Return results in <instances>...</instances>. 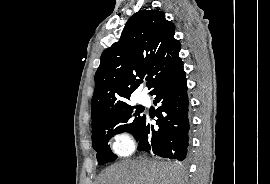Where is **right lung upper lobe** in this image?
<instances>
[{"label":"right lung upper lobe","mask_w":270,"mask_h":184,"mask_svg":"<svg viewBox=\"0 0 270 184\" xmlns=\"http://www.w3.org/2000/svg\"><path fill=\"white\" fill-rule=\"evenodd\" d=\"M174 24L158 10H140L126 23L120 40L104 50L95 74L92 124L128 104L140 79L154 84L181 60Z\"/></svg>","instance_id":"obj_1"}]
</instances>
